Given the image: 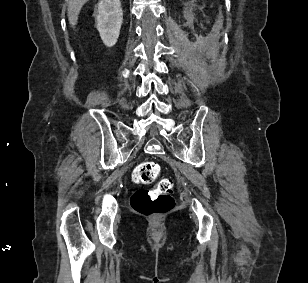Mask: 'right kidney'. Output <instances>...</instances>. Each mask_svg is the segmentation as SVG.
I'll return each instance as SVG.
<instances>
[{
    "label": "right kidney",
    "instance_id": "1",
    "mask_svg": "<svg viewBox=\"0 0 308 283\" xmlns=\"http://www.w3.org/2000/svg\"><path fill=\"white\" fill-rule=\"evenodd\" d=\"M97 13L96 27L100 37L107 47H112L119 38L123 23V11L120 0H100Z\"/></svg>",
    "mask_w": 308,
    "mask_h": 283
}]
</instances>
